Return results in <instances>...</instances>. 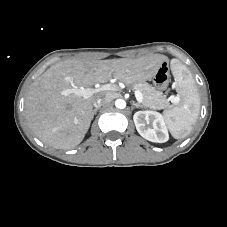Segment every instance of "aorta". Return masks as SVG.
<instances>
[{
	"label": "aorta",
	"mask_w": 227,
	"mask_h": 227,
	"mask_svg": "<svg viewBox=\"0 0 227 227\" xmlns=\"http://www.w3.org/2000/svg\"><path fill=\"white\" fill-rule=\"evenodd\" d=\"M115 106L118 109H124L126 107V101L123 99H117L115 101Z\"/></svg>",
	"instance_id": "1"
}]
</instances>
